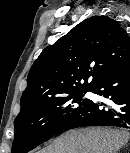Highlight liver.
<instances>
[{
  "mask_svg": "<svg viewBox=\"0 0 130 153\" xmlns=\"http://www.w3.org/2000/svg\"><path fill=\"white\" fill-rule=\"evenodd\" d=\"M125 130L79 128L67 131L38 153H117L129 140Z\"/></svg>",
  "mask_w": 130,
  "mask_h": 153,
  "instance_id": "1",
  "label": "liver"
}]
</instances>
